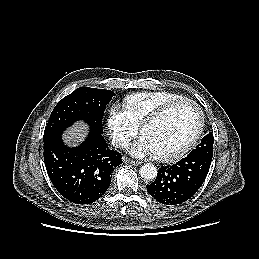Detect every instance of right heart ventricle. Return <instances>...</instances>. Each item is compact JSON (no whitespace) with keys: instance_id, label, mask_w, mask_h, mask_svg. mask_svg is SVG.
I'll list each match as a JSON object with an SVG mask.
<instances>
[{"instance_id":"1","label":"right heart ventricle","mask_w":259,"mask_h":259,"mask_svg":"<svg viewBox=\"0 0 259 259\" xmlns=\"http://www.w3.org/2000/svg\"><path fill=\"white\" fill-rule=\"evenodd\" d=\"M181 99L186 98L182 95L172 92H140L125 97L124 105L133 123L136 126H140L146 118H148L162 106Z\"/></svg>"}]
</instances>
